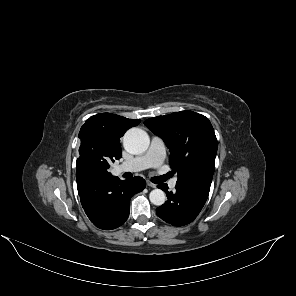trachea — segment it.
<instances>
[{
	"instance_id": "1",
	"label": "trachea",
	"mask_w": 296,
	"mask_h": 296,
	"mask_svg": "<svg viewBox=\"0 0 296 296\" xmlns=\"http://www.w3.org/2000/svg\"><path fill=\"white\" fill-rule=\"evenodd\" d=\"M169 177H170L169 174H167V175H165V176L153 177V178L151 179V181H152L153 183H161V182L166 181Z\"/></svg>"
}]
</instances>
